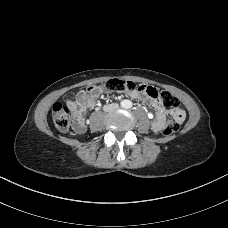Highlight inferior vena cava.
Masks as SVG:
<instances>
[{
	"instance_id": "1",
	"label": "inferior vena cava",
	"mask_w": 228,
	"mask_h": 228,
	"mask_svg": "<svg viewBox=\"0 0 228 228\" xmlns=\"http://www.w3.org/2000/svg\"><path fill=\"white\" fill-rule=\"evenodd\" d=\"M117 108H118V104L112 103V104L104 105L103 110L105 112H110V111L115 110Z\"/></svg>"
}]
</instances>
